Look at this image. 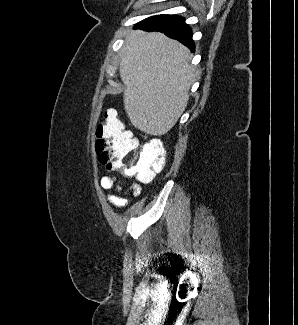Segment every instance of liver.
Listing matches in <instances>:
<instances>
[{"instance_id": "obj_1", "label": "liver", "mask_w": 298, "mask_h": 325, "mask_svg": "<svg viewBox=\"0 0 298 325\" xmlns=\"http://www.w3.org/2000/svg\"><path fill=\"white\" fill-rule=\"evenodd\" d=\"M192 54L162 32L131 30L121 50L120 78L124 108L133 126L161 136L183 114L194 68Z\"/></svg>"}]
</instances>
